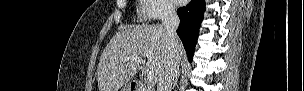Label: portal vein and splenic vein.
<instances>
[{"label": "portal vein and splenic vein", "instance_id": "18ae733b", "mask_svg": "<svg viewBox=\"0 0 304 91\" xmlns=\"http://www.w3.org/2000/svg\"><path fill=\"white\" fill-rule=\"evenodd\" d=\"M129 60L138 62L139 64H144V61L142 60V58H138V57H124L122 58V61L127 62ZM147 79L150 83H154L155 82V78L152 74L148 73L147 74Z\"/></svg>", "mask_w": 304, "mask_h": 91}]
</instances>
